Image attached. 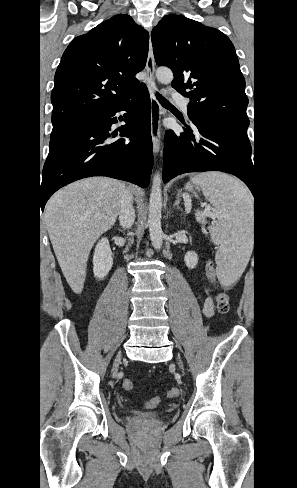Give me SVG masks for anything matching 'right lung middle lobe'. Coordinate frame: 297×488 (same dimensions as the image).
<instances>
[{
  "label": "right lung middle lobe",
  "instance_id": "1",
  "mask_svg": "<svg viewBox=\"0 0 297 488\" xmlns=\"http://www.w3.org/2000/svg\"><path fill=\"white\" fill-rule=\"evenodd\" d=\"M60 133H61V132H53V133L51 134V137H54V136H56V135H58V134H60Z\"/></svg>",
  "mask_w": 297,
  "mask_h": 488
}]
</instances>
